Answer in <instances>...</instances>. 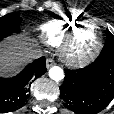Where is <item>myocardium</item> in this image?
<instances>
[{
    "mask_svg": "<svg viewBox=\"0 0 114 114\" xmlns=\"http://www.w3.org/2000/svg\"><path fill=\"white\" fill-rule=\"evenodd\" d=\"M91 24L97 34V39L94 46L86 52L78 53L74 51L75 37L79 29L85 25ZM102 47V33L97 23L92 20H85L76 23L66 34L60 45V55L62 59L71 66H81L92 61L100 52Z\"/></svg>",
    "mask_w": 114,
    "mask_h": 114,
    "instance_id": "obj_1",
    "label": "myocardium"
}]
</instances>
